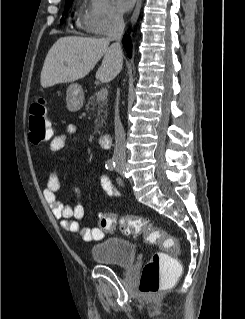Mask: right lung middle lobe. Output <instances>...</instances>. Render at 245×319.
Segmentation results:
<instances>
[{
    "instance_id": "1",
    "label": "right lung middle lobe",
    "mask_w": 245,
    "mask_h": 319,
    "mask_svg": "<svg viewBox=\"0 0 245 319\" xmlns=\"http://www.w3.org/2000/svg\"><path fill=\"white\" fill-rule=\"evenodd\" d=\"M73 0H66V6H65V10L63 12V14H66V12L69 10V7L71 5Z\"/></svg>"
}]
</instances>
